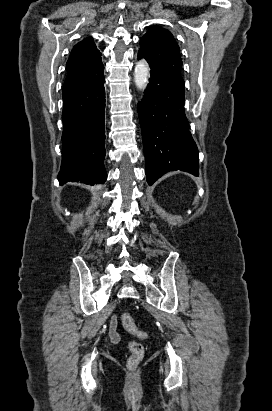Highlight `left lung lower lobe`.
<instances>
[{
    "mask_svg": "<svg viewBox=\"0 0 272 411\" xmlns=\"http://www.w3.org/2000/svg\"><path fill=\"white\" fill-rule=\"evenodd\" d=\"M138 58L145 57L138 53ZM146 61L151 68V77L138 104V115L147 182L152 185L173 170L198 176V150L184 111L185 84Z\"/></svg>",
    "mask_w": 272,
    "mask_h": 411,
    "instance_id": "left-lung-lower-lobe-1",
    "label": "left lung lower lobe"
}]
</instances>
